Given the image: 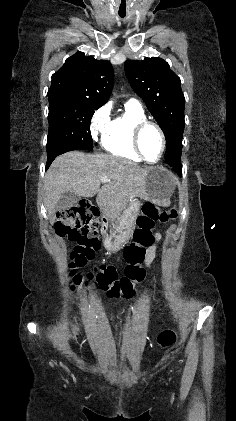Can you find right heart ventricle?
I'll list each match as a JSON object with an SVG mask.
<instances>
[{"label": "right heart ventricle", "mask_w": 236, "mask_h": 421, "mask_svg": "<svg viewBox=\"0 0 236 421\" xmlns=\"http://www.w3.org/2000/svg\"><path fill=\"white\" fill-rule=\"evenodd\" d=\"M146 120L142 106L136 101H128L124 111L108 121L101 133L100 145L109 154L127 161L139 163L142 159L134 149L132 131L134 126Z\"/></svg>", "instance_id": "right-heart-ventricle-1"}]
</instances>
